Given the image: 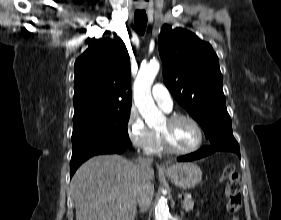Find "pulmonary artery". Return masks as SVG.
<instances>
[{"mask_svg": "<svg viewBox=\"0 0 281 220\" xmlns=\"http://www.w3.org/2000/svg\"><path fill=\"white\" fill-rule=\"evenodd\" d=\"M152 95L157 104L166 112L173 108V100L169 90L161 83H156L152 87Z\"/></svg>", "mask_w": 281, "mask_h": 220, "instance_id": "pulmonary-artery-1", "label": "pulmonary artery"}]
</instances>
